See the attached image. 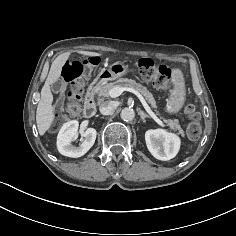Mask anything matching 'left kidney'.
Segmentation results:
<instances>
[{"instance_id": "left-kidney-1", "label": "left kidney", "mask_w": 236, "mask_h": 236, "mask_svg": "<svg viewBox=\"0 0 236 236\" xmlns=\"http://www.w3.org/2000/svg\"><path fill=\"white\" fill-rule=\"evenodd\" d=\"M145 141L150 153L158 160L167 161L174 158L180 149V138L163 129L148 130Z\"/></svg>"}]
</instances>
